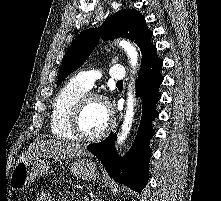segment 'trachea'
Segmentation results:
<instances>
[{
	"instance_id": "1",
	"label": "trachea",
	"mask_w": 221,
	"mask_h": 201,
	"mask_svg": "<svg viewBox=\"0 0 221 201\" xmlns=\"http://www.w3.org/2000/svg\"><path fill=\"white\" fill-rule=\"evenodd\" d=\"M117 84H118V85H122V84H123V81H118Z\"/></svg>"
}]
</instances>
